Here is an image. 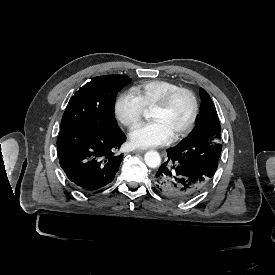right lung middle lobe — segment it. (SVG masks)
Masks as SVG:
<instances>
[{
  "label": "right lung middle lobe",
  "mask_w": 275,
  "mask_h": 275,
  "mask_svg": "<svg viewBox=\"0 0 275 275\" xmlns=\"http://www.w3.org/2000/svg\"><path fill=\"white\" fill-rule=\"evenodd\" d=\"M131 78L107 75L93 78L70 99L62 117L61 126L86 125L99 132L119 129L114 118V104L118 91Z\"/></svg>",
  "instance_id": "dd1d6c3e"
}]
</instances>
